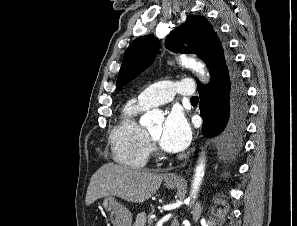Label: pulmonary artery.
Instances as JSON below:
<instances>
[{
    "instance_id": "1",
    "label": "pulmonary artery",
    "mask_w": 297,
    "mask_h": 226,
    "mask_svg": "<svg viewBox=\"0 0 297 226\" xmlns=\"http://www.w3.org/2000/svg\"><path fill=\"white\" fill-rule=\"evenodd\" d=\"M194 93V80L185 78L178 81H160L145 88L138 99L147 107H154L169 103L174 95L179 94L192 97Z\"/></svg>"
}]
</instances>
